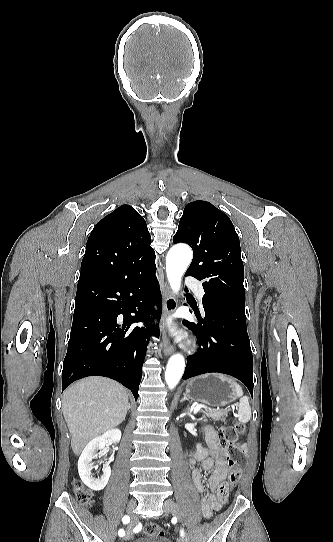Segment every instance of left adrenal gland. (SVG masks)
<instances>
[{"label":"left adrenal gland","instance_id":"left-adrenal-gland-1","mask_svg":"<svg viewBox=\"0 0 333 542\" xmlns=\"http://www.w3.org/2000/svg\"><path fill=\"white\" fill-rule=\"evenodd\" d=\"M183 396H184V398H182V400H180V402H185V400H188V398H186V394H183ZM188 402H189V400H188ZM189 408H190V406H188L187 412H189Z\"/></svg>","mask_w":333,"mask_h":542}]
</instances>
